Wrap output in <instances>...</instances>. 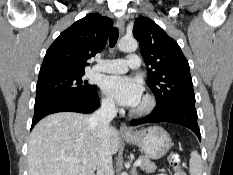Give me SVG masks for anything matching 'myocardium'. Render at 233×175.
Masks as SVG:
<instances>
[{
    "mask_svg": "<svg viewBox=\"0 0 233 175\" xmlns=\"http://www.w3.org/2000/svg\"><path fill=\"white\" fill-rule=\"evenodd\" d=\"M155 99L151 95H145L140 104L132 110L134 115H144L151 112L155 107Z\"/></svg>",
    "mask_w": 233,
    "mask_h": 175,
    "instance_id": "1",
    "label": "myocardium"
}]
</instances>
